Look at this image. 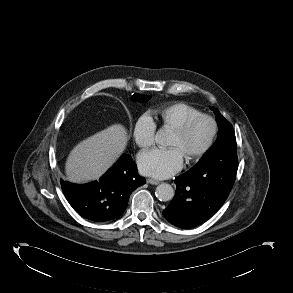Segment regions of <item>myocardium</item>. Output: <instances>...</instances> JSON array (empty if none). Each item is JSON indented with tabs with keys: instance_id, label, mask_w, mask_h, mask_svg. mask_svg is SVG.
I'll return each instance as SVG.
<instances>
[{
	"instance_id": "1",
	"label": "myocardium",
	"mask_w": 293,
	"mask_h": 293,
	"mask_svg": "<svg viewBox=\"0 0 293 293\" xmlns=\"http://www.w3.org/2000/svg\"><path fill=\"white\" fill-rule=\"evenodd\" d=\"M202 120H207L210 123L211 133L207 142L204 144V146L201 149H199L197 152L191 155L186 156V159L190 162L199 160L212 148L218 134V129H219L218 123L213 116L208 114H200L191 118L184 125L174 130V133L178 135L179 137H186L192 131V129Z\"/></svg>"
}]
</instances>
